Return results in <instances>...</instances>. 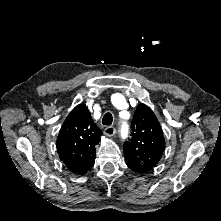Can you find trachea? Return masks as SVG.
<instances>
[{
    "label": "trachea",
    "mask_w": 221,
    "mask_h": 221,
    "mask_svg": "<svg viewBox=\"0 0 221 221\" xmlns=\"http://www.w3.org/2000/svg\"><path fill=\"white\" fill-rule=\"evenodd\" d=\"M113 122V117H112V114L111 113H106L103 118H102V124L103 125H106V126H109L111 125Z\"/></svg>",
    "instance_id": "1"
}]
</instances>
